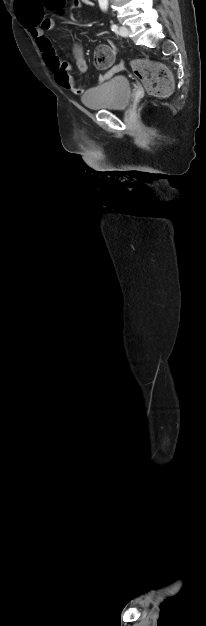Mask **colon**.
<instances>
[{
    "label": "colon",
    "mask_w": 206,
    "mask_h": 626,
    "mask_svg": "<svg viewBox=\"0 0 206 626\" xmlns=\"http://www.w3.org/2000/svg\"><path fill=\"white\" fill-rule=\"evenodd\" d=\"M51 10H61L65 0H44ZM34 20H29L33 22ZM114 54L107 45H99L94 54V64L99 69H106L113 63ZM135 75L142 81L148 93L157 98L166 97L172 90L173 80L169 70L161 63L145 59H135L131 62Z\"/></svg>",
    "instance_id": "5ec220e1"
}]
</instances>
